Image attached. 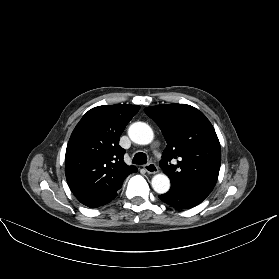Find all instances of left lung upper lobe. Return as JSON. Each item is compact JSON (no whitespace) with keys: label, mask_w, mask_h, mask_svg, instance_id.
Masks as SVG:
<instances>
[{"label":"left lung upper lobe","mask_w":279,"mask_h":279,"mask_svg":"<svg viewBox=\"0 0 279 279\" xmlns=\"http://www.w3.org/2000/svg\"><path fill=\"white\" fill-rule=\"evenodd\" d=\"M144 111L167 142L160 167L171 187L206 198L216 184L221 163L220 143L210 121L186 104L157 105ZM174 159L177 163L169 164Z\"/></svg>","instance_id":"obj_1"}]
</instances>
